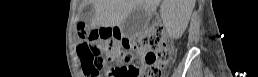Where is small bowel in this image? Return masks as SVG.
I'll return each mask as SVG.
<instances>
[{"label":"small bowel","mask_w":258,"mask_h":77,"mask_svg":"<svg viewBox=\"0 0 258 77\" xmlns=\"http://www.w3.org/2000/svg\"><path fill=\"white\" fill-rule=\"evenodd\" d=\"M114 51H117V49H115L114 47L112 48Z\"/></svg>","instance_id":"c3829d8e"}]
</instances>
